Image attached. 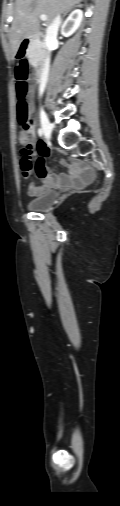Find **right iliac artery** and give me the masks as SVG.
<instances>
[{"label": "right iliac artery", "instance_id": "right-iliac-artery-1", "mask_svg": "<svg viewBox=\"0 0 120 506\" xmlns=\"http://www.w3.org/2000/svg\"><path fill=\"white\" fill-rule=\"evenodd\" d=\"M38 134H39V136H40V137H42V135H43V130H42L41 128H39V129H38Z\"/></svg>", "mask_w": 120, "mask_h": 506}]
</instances>
